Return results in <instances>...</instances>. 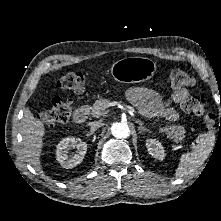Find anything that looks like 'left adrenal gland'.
I'll list each match as a JSON object with an SVG mask.
<instances>
[{
  "mask_svg": "<svg viewBox=\"0 0 221 221\" xmlns=\"http://www.w3.org/2000/svg\"><path fill=\"white\" fill-rule=\"evenodd\" d=\"M136 122L139 123V125H140V127L138 128L140 133L145 132V131L146 132H150L149 129H147L145 126H143V122L142 121L137 120Z\"/></svg>",
  "mask_w": 221,
  "mask_h": 221,
  "instance_id": "a2214340",
  "label": "left adrenal gland"
}]
</instances>
